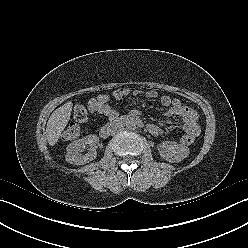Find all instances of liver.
Segmentation results:
<instances>
[{
    "label": "liver",
    "instance_id": "liver-1",
    "mask_svg": "<svg viewBox=\"0 0 248 248\" xmlns=\"http://www.w3.org/2000/svg\"><path fill=\"white\" fill-rule=\"evenodd\" d=\"M72 111V102H67L57 108L49 117L46 127V139L51 146H54L62 131L69 122Z\"/></svg>",
    "mask_w": 248,
    "mask_h": 248
}]
</instances>
